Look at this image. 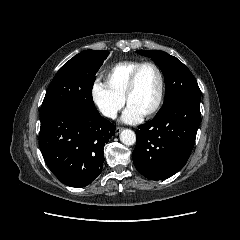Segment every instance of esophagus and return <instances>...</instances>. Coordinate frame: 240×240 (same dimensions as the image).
I'll use <instances>...</instances> for the list:
<instances>
[{"label":"esophagus","mask_w":240,"mask_h":240,"mask_svg":"<svg viewBox=\"0 0 240 240\" xmlns=\"http://www.w3.org/2000/svg\"><path fill=\"white\" fill-rule=\"evenodd\" d=\"M122 130H123V128L117 127L116 130H115V133H116V134H119Z\"/></svg>","instance_id":"obj_1"}]
</instances>
